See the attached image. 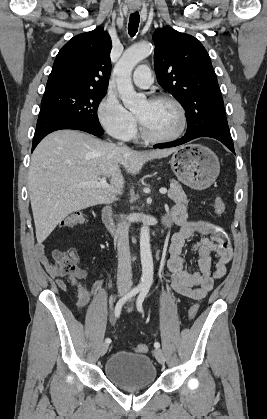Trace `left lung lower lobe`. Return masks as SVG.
<instances>
[{"label":"left lung lower lobe","instance_id":"1","mask_svg":"<svg viewBox=\"0 0 267 419\" xmlns=\"http://www.w3.org/2000/svg\"><path fill=\"white\" fill-rule=\"evenodd\" d=\"M218 119H219L218 114H206L196 119L194 122H192L187 127V132L182 138L169 142V143H164L161 146L155 145L154 147L155 148H170V147H175V146L184 144L195 138L211 137V138H215L219 140L226 147H228L233 153H235L233 140L229 131L228 124H224L219 127H214L217 124Z\"/></svg>","mask_w":267,"mask_h":419}]
</instances>
